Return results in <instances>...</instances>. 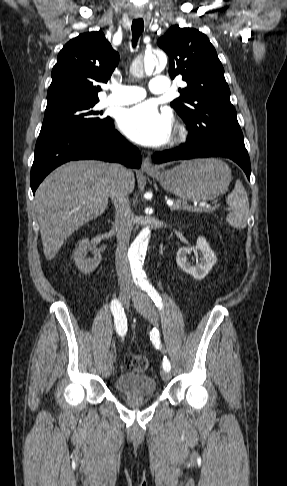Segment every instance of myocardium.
<instances>
[{"instance_id":"obj_1","label":"myocardium","mask_w":287,"mask_h":486,"mask_svg":"<svg viewBox=\"0 0 287 486\" xmlns=\"http://www.w3.org/2000/svg\"><path fill=\"white\" fill-rule=\"evenodd\" d=\"M187 135V131L184 127H180L177 131V138L178 139H183Z\"/></svg>"}]
</instances>
